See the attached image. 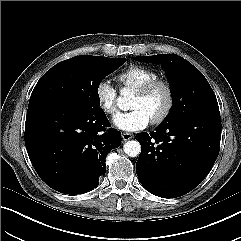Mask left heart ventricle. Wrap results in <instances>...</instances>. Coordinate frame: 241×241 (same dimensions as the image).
<instances>
[{
  "label": "left heart ventricle",
  "instance_id": "1",
  "mask_svg": "<svg viewBox=\"0 0 241 241\" xmlns=\"http://www.w3.org/2000/svg\"><path fill=\"white\" fill-rule=\"evenodd\" d=\"M166 105V93L163 88H157L145 97L135 94L131 100V109H141L150 118L157 116Z\"/></svg>",
  "mask_w": 241,
  "mask_h": 241
}]
</instances>
